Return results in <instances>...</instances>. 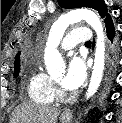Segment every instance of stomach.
<instances>
[{
  "label": "stomach",
  "instance_id": "0dacf381",
  "mask_svg": "<svg viewBox=\"0 0 122 123\" xmlns=\"http://www.w3.org/2000/svg\"><path fill=\"white\" fill-rule=\"evenodd\" d=\"M60 122L61 123H70V117L61 116Z\"/></svg>",
  "mask_w": 122,
  "mask_h": 123
}]
</instances>
